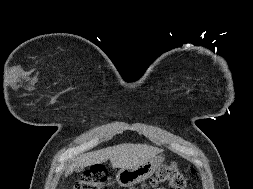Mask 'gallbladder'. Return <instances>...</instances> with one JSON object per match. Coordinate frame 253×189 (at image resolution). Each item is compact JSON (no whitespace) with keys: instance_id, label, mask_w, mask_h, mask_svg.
<instances>
[{"instance_id":"obj_1","label":"gallbladder","mask_w":253,"mask_h":189,"mask_svg":"<svg viewBox=\"0 0 253 189\" xmlns=\"http://www.w3.org/2000/svg\"><path fill=\"white\" fill-rule=\"evenodd\" d=\"M81 170H82L81 167H76V168H75V171H76V172H80Z\"/></svg>"}]
</instances>
